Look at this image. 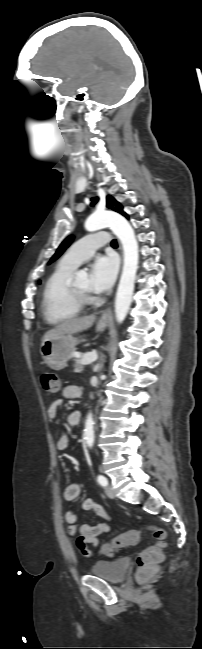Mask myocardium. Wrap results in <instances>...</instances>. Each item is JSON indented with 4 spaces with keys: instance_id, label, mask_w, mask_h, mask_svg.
Returning <instances> with one entry per match:
<instances>
[{
    "instance_id": "obj_1",
    "label": "myocardium",
    "mask_w": 202,
    "mask_h": 649,
    "mask_svg": "<svg viewBox=\"0 0 202 649\" xmlns=\"http://www.w3.org/2000/svg\"><path fill=\"white\" fill-rule=\"evenodd\" d=\"M70 292L74 300L82 307L91 305L94 301L91 293L80 290L73 280L70 282Z\"/></svg>"
}]
</instances>
